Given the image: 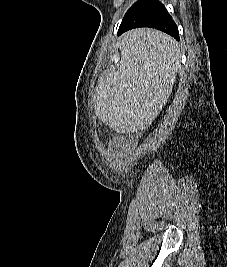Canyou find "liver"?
Segmentation results:
<instances>
[{
  "mask_svg": "<svg viewBox=\"0 0 227 267\" xmlns=\"http://www.w3.org/2000/svg\"><path fill=\"white\" fill-rule=\"evenodd\" d=\"M116 70L99 80L95 114L118 133L150 126L167 103L179 69L178 43L155 29H134L118 42Z\"/></svg>",
  "mask_w": 227,
  "mask_h": 267,
  "instance_id": "6515ba94",
  "label": "liver"
}]
</instances>
